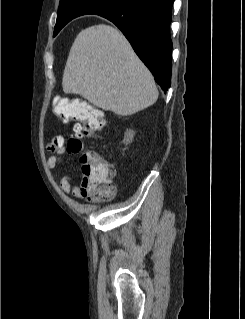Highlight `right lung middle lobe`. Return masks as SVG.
<instances>
[{"mask_svg": "<svg viewBox=\"0 0 245 319\" xmlns=\"http://www.w3.org/2000/svg\"><path fill=\"white\" fill-rule=\"evenodd\" d=\"M123 1L124 0H83V2L80 3V6L84 10L89 11L90 14H98L104 10L117 6ZM65 4L66 2H60L58 13L62 10ZM57 18H58V14H57ZM60 30H61V27H57L55 25L54 35L57 34Z\"/></svg>", "mask_w": 245, "mask_h": 319, "instance_id": "obj_1", "label": "right lung middle lobe"}]
</instances>
